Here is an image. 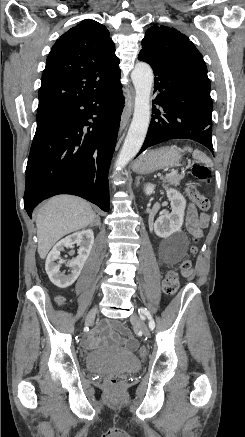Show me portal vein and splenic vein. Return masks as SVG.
<instances>
[{"mask_svg":"<svg viewBox=\"0 0 245 437\" xmlns=\"http://www.w3.org/2000/svg\"><path fill=\"white\" fill-rule=\"evenodd\" d=\"M174 174H176V171L175 170H173L170 174H168L167 176H170V175H174Z\"/></svg>","mask_w":245,"mask_h":437,"instance_id":"obj_1","label":"portal vein and splenic vein"}]
</instances>
